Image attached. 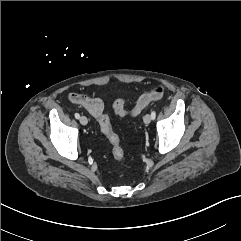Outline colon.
Returning <instances> with one entry per match:
<instances>
[{"instance_id": "colon-1", "label": "colon", "mask_w": 241, "mask_h": 241, "mask_svg": "<svg viewBox=\"0 0 241 241\" xmlns=\"http://www.w3.org/2000/svg\"><path fill=\"white\" fill-rule=\"evenodd\" d=\"M164 88L155 86L148 93L142 95L136 102L135 106L128 110L122 99H117L113 103L115 113L121 117L135 116L140 114L149 104L163 97ZM98 123L102 133L107 137L112 146V155L116 161H121L124 158V149L121 145L119 136L114 132L110 117L102 113L98 117Z\"/></svg>"}]
</instances>
